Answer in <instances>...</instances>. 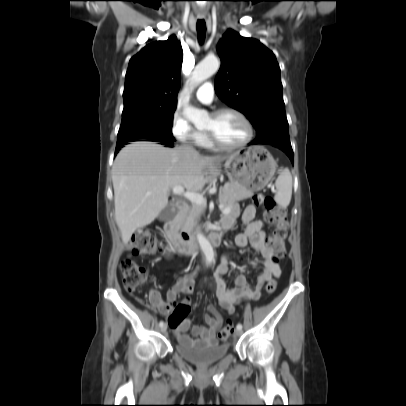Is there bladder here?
Instances as JSON below:
<instances>
[{
    "label": "bladder",
    "instance_id": "1",
    "mask_svg": "<svg viewBox=\"0 0 406 406\" xmlns=\"http://www.w3.org/2000/svg\"><path fill=\"white\" fill-rule=\"evenodd\" d=\"M175 349L179 356L190 362L198 365H208L224 358L229 352V345L188 346L177 342Z\"/></svg>",
    "mask_w": 406,
    "mask_h": 406
}]
</instances>
